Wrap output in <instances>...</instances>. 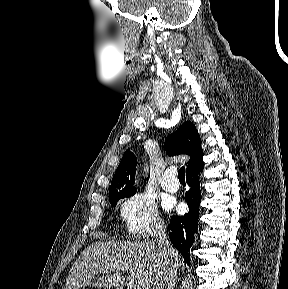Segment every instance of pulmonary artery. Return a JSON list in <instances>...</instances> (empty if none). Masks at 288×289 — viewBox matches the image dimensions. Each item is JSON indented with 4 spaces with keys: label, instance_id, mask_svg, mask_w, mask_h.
Returning a JSON list of instances; mask_svg holds the SVG:
<instances>
[{
    "label": "pulmonary artery",
    "instance_id": "e3ab8cb5",
    "mask_svg": "<svg viewBox=\"0 0 288 289\" xmlns=\"http://www.w3.org/2000/svg\"><path fill=\"white\" fill-rule=\"evenodd\" d=\"M161 186L165 191L168 192H176L178 190L179 182L175 176V172L172 169H168L164 172Z\"/></svg>",
    "mask_w": 288,
    "mask_h": 289
}]
</instances>
